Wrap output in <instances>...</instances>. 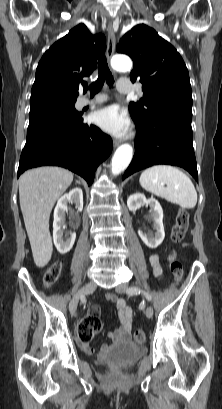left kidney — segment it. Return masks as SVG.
<instances>
[{
  "instance_id": "1",
  "label": "left kidney",
  "mask_w": 222,
  "mask_h": 409,
  "mask_svg": "<svg viewBox=\"0 0 222 409\" xmlns=\"http://www.w3.org/2000/svg\"><path fill=\"white\" fill-rule=\"evenodd\" d=\"M149 205L151 208L150 217L154 221V229H156L155 236L145 234L142 231H138L141 240L149 248H157L164 240V226H163V210L160 203L155 198L147 199L144 194L136 193L129 196L127 200L128 209L131 212H135L143 205Z\"/></svg>"
}]
</instances>
